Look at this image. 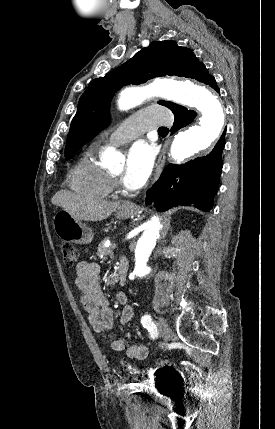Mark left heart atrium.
Instances as JSON below:
<instances>
[{"mask_svg":"<svg viewBox=\"0 0 275 429\" xmlns=\"http://www.w3.org/2000/svg\"><path fill=\"white\" fill-rule=\"evenodd\" d=\"M154 160V151L145 141L134 143L128 151L127 160L122 176L123 185L135 190L146 182Z\"/></svg>","mask_w":275,"mask_h":429,"instance_id":"39dd6f15","label":"left heart atrium"}]
</instances>
